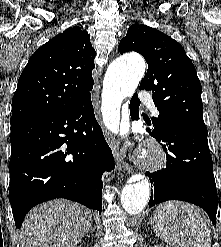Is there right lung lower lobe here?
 Listing matches in <instances>:
<instances>
[{
	"label": "right lung lower lobe",
	"mask_w": 221,
	"mask_h": 247,
	"mask_svg": "<svg viewBox=\"0 0 221 247\" xmlns=\"http://www.w3.org/2000/svg\"><path fill=\"white\" fill-rule=\"evenodd\" d=\"M9 201L16 228L35 205L66 198L101 212L102 173L114 165L91 102L11 122Z\"/></svg>",
	"instance_id": "right-lung-lower-lobe-1"
}]
</instances>
